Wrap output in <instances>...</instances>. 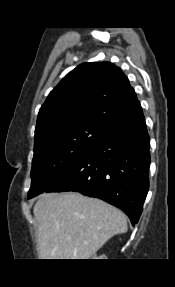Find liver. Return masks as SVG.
<instances>
[{"instance_id": "6515ba94", "label": "liver", "mask_w": 175, "mask_h": 287, "mask_svg": "<svg viewBox=\"0 0 175 287\" xmlns=\"http://www.w3.org/2000/svg\"><path fill=\"white\" fill-rule=\"evenodd\" d=\"M33 213L41 259H89L128 230L123 212L79 193L42 194Z\"/></svg>"}]
</instances>
